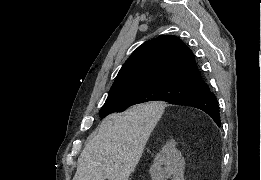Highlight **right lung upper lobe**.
I'll return each mask as SVG.
<instances>
[{"label":"right lung upper lobe","mask_w":261,"mask_h":180,"mask_svg":"<svg viewBox=\"0 0 261 180\" xmlns=\"http://www.w3.org/2000/svg\"><path fill=\"white\" fill-rule=\"evenodd\" d=\"M160 80L204 83L193 52L175 36H159L139 46L120 69L110 91Z\"/></svg>","instance_id":"right-lung-upper-lobe-1"}]
</instances>
